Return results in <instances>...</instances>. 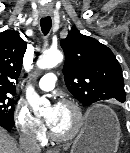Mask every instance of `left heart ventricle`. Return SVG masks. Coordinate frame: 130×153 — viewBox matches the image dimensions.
<instances>
[{"label": "left heart ventricle", "mask_w": 130, "mask_h": 153, "mask_svg": "<svg viewBox=\"0 0 130 153\" xmlns=\"http://www.w3.org/2000/svg\"><path fill=\"white\" fill-rule=\"evenodd\" d=\"M51 110L46 112V118L50 116ZM75 123V115L73 111L66 106L59 105V108L55 114V117L50 127L59 134L68 133Z\"/></svg>", "instance_id": "left-heart-ventricle-1"}]
</instances>
